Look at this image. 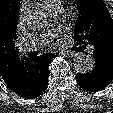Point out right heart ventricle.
<instances>
[{
	"mask_svg": "<svg viewBox=\"0 0 113 113\" xmlns=\"http://www.w3.org/2000/svg\"><path fill=\"white\" fill-rule=\"evenodd\" d=\"M41 1L48 9H52L53 7L60 5L61 3V0H41Z\"/></svg>",
	"mask_w": 113,
	"mask_h": 113,
	"instance_id": "obj_1",
	"label": "right heart ventricle"
}]
</instances>
